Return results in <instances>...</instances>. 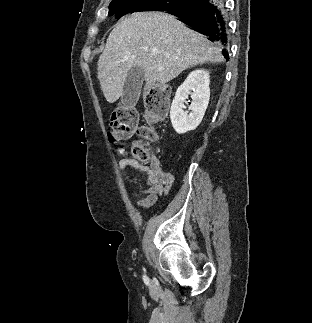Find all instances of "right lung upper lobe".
<instances>
[{
    "mask_svg": "<svg viewBox=\"0 0 312 323\" xmlns=\"http://www.w3.org/2000/svg\"><path fill=\"white\" fill-rule=\"evenodd\" d=\"M168 9H166V10H158V11H167Z\"/></svg>",
    "mask_w": 312,
    "mask_h": 323,
    "instance_id": "cb5924a9",
    "label": "right lung upper lobe"
}]
</instances>
